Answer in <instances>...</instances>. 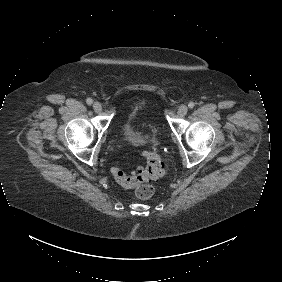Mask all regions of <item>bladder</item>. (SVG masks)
<instances>
[{
  "instance_id": "1",
  "label": "bladder",
  "mask_w": 282,
  "mask_h": 282,
  "mask_svg": "<svg viewBox=\"0 0 282 282\" xmlns=\"http://www.w3.org/2000/svg\"><path fill=\"white\" fill-rule=\"evenodd\" d=\"M139 114V107L132 109V111L128 114L126 120L124 121L121 130L123 141L133 147H140L147 142V136L137 126Z\"/></svg>"
}]
</instances>
